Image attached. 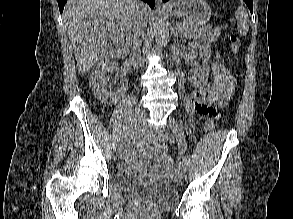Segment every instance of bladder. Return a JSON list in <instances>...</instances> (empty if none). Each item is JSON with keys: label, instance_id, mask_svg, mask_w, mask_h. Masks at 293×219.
<instances>
[{"label": "bladder", "instance_id": "obj_1", "mask_svg": "<svg viewBox=\"0 0 293 219\" xmlns=\"http://www.w3.org/2000/svg\"><path fill=\"white\" fill-rule=\"evenodd\" d=\"M112 181L114 187L120 192L160 209L172 208L179 200L178 189L170 182L145 180L127 170L115 172Z\"/></svg>", "mask_w": 293, "mask_h": 219}]
</instances>
